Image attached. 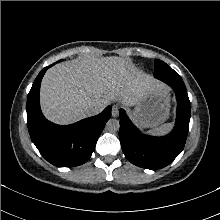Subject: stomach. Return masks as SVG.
I'll return each mask as SVG.
<instances>
[{"mask_svg": "<svg viewBox=\"0 0 220 220\" xmlns=\"http://www.w3.org/2000/svg\"><path fill=\"white\" fill-rule=\"evenodd\" d=\"M170 102L168 89L160 86L140 100L130 115L133 121L143 128L156 127L168 118Z\"/></svg>", "mask_w": 220, "mask_h": 220, "instance_id": "0dacf381", "label": "stomach"}]
</instances>
